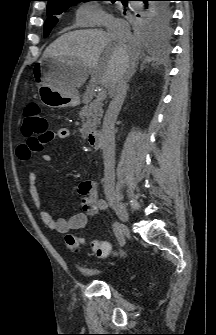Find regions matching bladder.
Listing matches in <instances>:
<instances>
[{
	"instance_id": "1",
	"label": "bladder",
	"mask_w": 216,
	"mask_h": 335,
	"mask_svg": "<svg viewBox=\"0 0 216 335\" xmlns=\"http://www.w3.org/2000/svg\"><path fill=\"white\" fill-rule=\"evenodd\" d=\"M79 270L87 275H98L101 273V270L96 269V268H91V267H79Z\"/></svg>"
}]
</instances>
